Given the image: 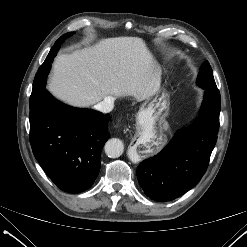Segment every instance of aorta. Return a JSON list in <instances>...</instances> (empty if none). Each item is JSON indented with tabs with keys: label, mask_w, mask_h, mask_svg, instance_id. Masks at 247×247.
Returning a JSON list of instances; mask_svg holds the SVG:
<instances>
[{
	"label": "aorta",
	"mask_w": 247,
	"mask_h": 247,
	"mask_svg": "<svg viewBox=\"0 0 247 247\" xmlns=\"http://www.w3.org/2000/svg\"><path fill=\"white\" fill-rule=\"evenodd\" d=\"M104 150L108 157L118 158L123 154L124 145L120 139L111 138L105 143Z\"/></svg>",
	"instance_id": "1"
}]
</instances>
